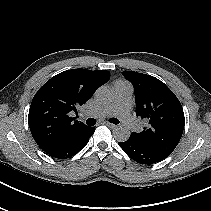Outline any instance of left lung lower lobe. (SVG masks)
<instances>
[{"instance_id":"1","label":"left lung lower lobe","mask_w":211,"mask_h":211,"mask_svg":"<svg viewBox=\"0 0 211 211\" xmlns=\"http://www.w3.org/2000/svg\"><path fill=\"white\" fill-rule=\"evenodd\" d=\"M119 146L129 157L140 164L150 165L165 158L155 151L143 146L131 136L127 141L119 142Z\"/></svg>"}]
</instances>
